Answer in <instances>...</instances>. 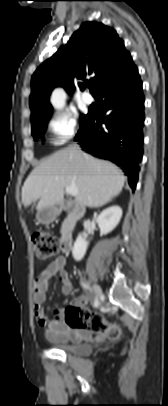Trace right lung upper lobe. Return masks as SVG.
I'll return each instance as SVG.
<instances>
[{
	"mask_svg": "<svg viewBox=\"0 0 168 406\" xmlns=\"http://www.w3.org/2000/svg\"><path fill=\"white\" fill-rule=\"evenodd\" d=\"M130 53L113 28L98 22H85L68 43L40 65L32 76L30 96L31 122L50 115L49 96L56 86L73 92L74 78L90 81L78 83L83 90L92 84L95 95L102 87L123 76L134 67Z\"/></svg>",
	"mask_w": 168,
	"mask_h": 406,
	"instance_id": "cb5924a9",
	"label": "right lung upper lobe"
}]
</instances>
